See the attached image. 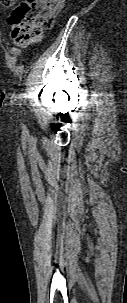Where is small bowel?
I'll return each mask as SVG.
<instances>
[{
	"mask_svg": "<svg viewBox=\"0 0 127 303\" xmlns=\"http://www.w3.org/2000/svg\"><path fill=\"white\" fill-rule=\"evenodd\" d=\"M11 52H12L13 54H15V55L18 54V50H17V49H12Z\"/></svg>",
	"mask_w": 127,
	"mask_h": 303,
	"instance_id": "1",
	"label": "small bowel"
}]
</instances>
